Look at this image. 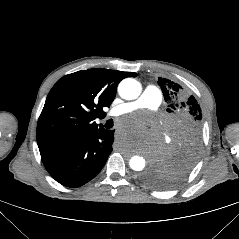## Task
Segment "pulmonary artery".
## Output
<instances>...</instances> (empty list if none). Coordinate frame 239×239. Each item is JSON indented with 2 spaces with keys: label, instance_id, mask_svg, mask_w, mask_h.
<instances>
[{
  "label": "pulmonary artery",
  "instance_id": "obj_1",
  "mask_svg": "<svg viewBox=\"0 0 239 239\" xmlns=\"http://www.w3.org/2000/svg\"><path fill=\"white\" fill-rule=\"evenodd\" d=\"M162 102V92L155 85H147L141 96L131 102H126L111 109L110 116L117 117L138 109L156 110Z\"/></svg>",
  "mask_w": 239,
  "mask_h": 239
}]
</instances>
